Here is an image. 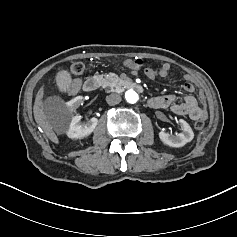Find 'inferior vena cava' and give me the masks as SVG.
<instances>
[{"instance_id":"1","label":"inferior vena cava","mask_w":237,"mask_h":237,"mask_svg":"<svg viewBox=\"0 0 237 237\" xmlns=\"http://www.w3.org/2000/svg\"><path fill=\"white\" fill-rule=\"evenodd\" d=\"M106 101L109 105L113 106L121 102V96L113 93L106 97Z\"/></svg>"}]
</instances>
